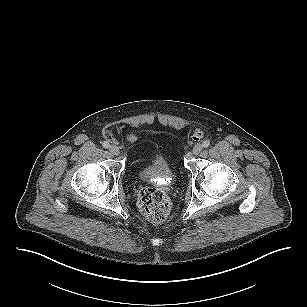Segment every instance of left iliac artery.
I'll list each match as a JSON object with an SVG mask.
<instances>
[{
    "label": "left iliac artery",
    "mask_w": 307,
    "mask_h": 307,
    "mask_svg": "<svg viewBox=\"0 0 307 307\" xmlns=\"http://www.w3.org/2000/svg\"><path fill=\"white\" fill-rule=\"evenodd\" d=\"M209 145H210L209 140H205V141H203V143H202V146H203L204 148L209 147Z\"/></svg>",
    "instance_id": "obj_1"
}]
</instances>
